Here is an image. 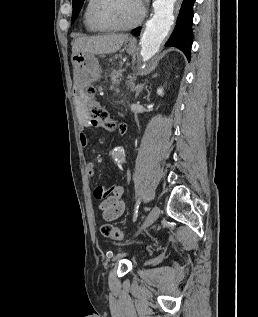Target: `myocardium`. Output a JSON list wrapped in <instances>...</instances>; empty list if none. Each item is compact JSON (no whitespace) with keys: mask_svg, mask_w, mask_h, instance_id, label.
<instances>
[{"mask_svg":"<svg viewBox=\"0 0 258 317\" xmlns=\"http://www.w3.org/2000/svg\"><path fill=\"white\" fill-rule=\"evenodd\" d=\"M108 1H116V0H95L91 6L90 18H91L92 22L97 27H99L103 30H110V31H116V32H129V31H133L134 29H136L141 24L142 20L144 19L145 9H144V6L142 5L141 1L140 0H130L133 3H135L137 8H138V18H137L136 22L130 27H118V26L106 24L97 17L96 10L102 3H105Z\"/></svg>","mask_w":258,"mask_h":317,"instance_id":"myocardium-1","label":"myocardium"}]
</instances>
